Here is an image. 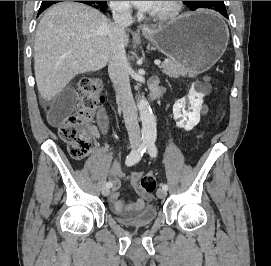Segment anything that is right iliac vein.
<instances>
[{
  "label": "right iliac vein",
  "mask_w": 271,
  "mask_h": 266,
  "mask_svg": "<svg viewBox=\"0 0 271 266\" xmlns=\"http://www.w3.org/2000/svg\"><path fill=\"white\" fill-rule=\"evenodd\" d=\"M131 147L134 148L135 145H131ZM101 193H102L103 196L109 195L110 188L108 186H106V185H103L102 188H101Z\"/></svg>",
  "instance_id": "1"
}]
</instances>
